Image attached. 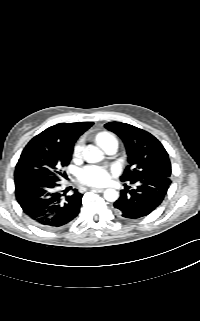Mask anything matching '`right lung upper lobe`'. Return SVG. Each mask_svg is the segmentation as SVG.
Returning a JSON list of instances; mask_svg holds the SVG:
<instances>
[{"label":"right lung upper lobe","instance_id":"obj_1","mask_svg":"<svg viewBox=\"0 0 200 321\" xmlns=\"http://www.w3.org/2000/svg\"><path fill=\"white\" fill-rule=\"evenodd\" d=\"M92 125L93 122H81L72 124L60 123L47 128L46 130L35 136L30 142H46L48 144L54 145L64 153L71 155L75 141L84 131H86ZM27 176L28 175L15 173L16 188L22 181L28 179Z\"/></svg>","mask_w":200,"mask_h":321}]
</instances>
